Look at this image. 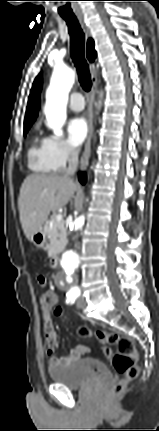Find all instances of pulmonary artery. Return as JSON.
<instances>
[{"label": "pulmonary artery", "instance_id": "1", "mask_svg": "<svg viewBox=\"0 0 159 431\" xmlns=\"http://www.w3.org/2000/svg\"><path fill=\"white\" fill-rule=\"evenodd\" d=\"M69 107L73 111H82L85 107L83 95L80 92H73L69 97Z\"/></svg>", "mask_w": 159, "mask_h": 431}]
</instances>
